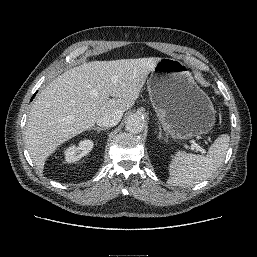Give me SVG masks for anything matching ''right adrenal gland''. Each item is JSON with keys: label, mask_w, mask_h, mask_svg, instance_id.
<instances>
[{"label": "right adrenal gland", "mask_w": 257, "mask_h": 257, "mask_svg": "<svg viewBox=\"0 0 257 257\" xmlns=\"http://www.w3.org/2000/svg\"><path fill=\"white\" fill-rule=\"evenodd\" d=\"M91 129H92V130H95V131H97V133H99L100 131H102V130H107L108 128H104V127H92Z\"/></svg>", "instance_id": "2a0ac1e0"}]
</instances>
